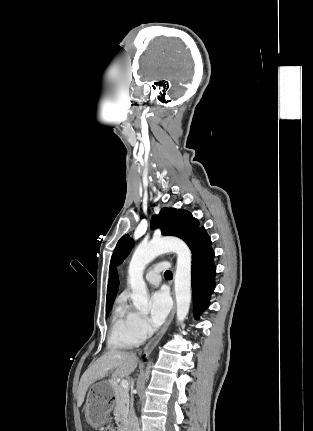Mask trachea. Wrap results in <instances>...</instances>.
<instances>
[{"mask_svg":"<svg viewBox=\"0 0 313 431\" xmlns=\"http://www.w3.org/2000/svg\"><path fill=\"white\" fill-rule=\"evenodd\" d=\"M164 276H165V278L169 279V278H172L173 274L171 271H166Z\"/></svg>","mask_w":313,"mask_h":431,"instance_id":"trachea-1","label":"trachea"}]
</instances>
